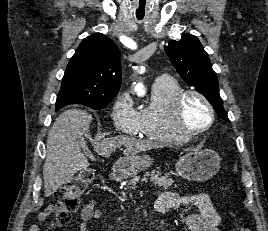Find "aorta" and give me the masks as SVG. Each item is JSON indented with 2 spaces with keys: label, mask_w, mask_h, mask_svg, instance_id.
Masks as SVG:
<instances>
[{
  "label": "aorta",
  "mask_w": 268,
  "mask_h": 231,
  "mask_svg": "<svg viewBox=\"0 0 268 231\" xmlns=\"http://www.w3.org/2000/svg\"><path fill=\"white\" fill-rule=\"evenodd\" d=\"M135 91L137 92L138 95H143L145 93L143 84H137L135 87Z\"/></svg>",
  "instance_id": "obj_1"
}]
</instances>
